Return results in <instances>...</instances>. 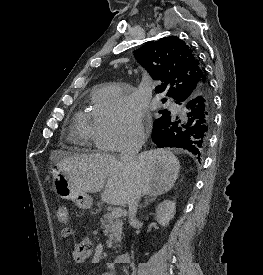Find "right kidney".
Returning <instances> with one entry per match:
<instances>
[{
	"label": "right kidney",
	"instance_id": "1",
	"mask_svg": "<svg viewBox=\"0 0 263 275\" xmlns=\"http://www.w3.org/2000/svg\"><path fill=\"white\" fill-rule=\"evenodd\" d=\"M176 213V205L171 200H164L156 208V221L162 226H168Z\"/></svg>",
	"mask_w": 263,
	"mask_h": 275
}]
</instances>
